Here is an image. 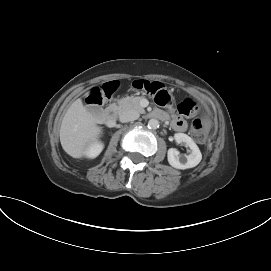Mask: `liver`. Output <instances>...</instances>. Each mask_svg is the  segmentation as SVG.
I'll use <instances>...</instances> for the list:
<instances>
[{
	"instance_id": "1",
	"label": "liver",
	"mask_w": 271,
	"mask_h": 271,
	"mask_svg": "<svg viewBox=\"0 0 271 271\" xmlns=\"http://www.w3.org/2000/svg\"><path fill=\"white\" fill-rule=\"evenodd\" d=\"M101 133L102 129L97 125V120L79 98L64 115L59 135L64 151L73 158H82Z\"/></svg>"
}]
</instances>
